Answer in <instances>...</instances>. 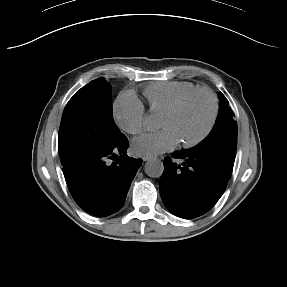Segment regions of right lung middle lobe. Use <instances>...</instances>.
Instances as JSON below:
<instances>
[{
	"label": "right lung middle lobe",
	"instance_id": "dd1d6c3e",
	"mask_svg": "<svg viewBox=\"0 0 287 287\" xmlns=\"http://www.w3.org/2000/svg\"><path fill=\"white\" fill-rule=\"evenodd\" d=\"M122 138L112 116L111 85L100 77L76 92L64 109L58 134L61 164L115 146Z\"/></svg>",
	"mask_w": 287,
	"mask_h": 287
}]
</instances>
